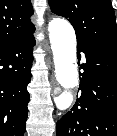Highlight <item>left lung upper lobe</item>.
<instances>
[{
  "mask_svg": "<svg viewBox=\"0 0 117 136\" xmlns=\"http://www.w3.org/2000/svg\"><path fill=\"white\" fill-rule=\"evenodd\" d=\"M51 11L70 21L77 41L117 51L116 18L110 0H49Z\"/></svg>",
  "mask_w": 117,
  "mask_h": 136,
  "instance_id": "left-lung-upper-lobe-1",
  "label": "left lung upper lobe"
}]
</instances>
